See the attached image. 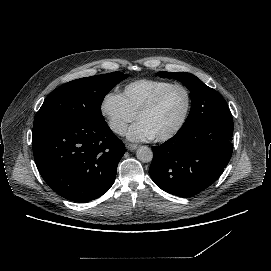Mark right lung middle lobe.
Returning a JSON list of instances; mask_svg holds the SVG:
<instances>
[{
  "label": "right lung middle lobe",
  "instance_id": "1",
  "mask_svg": "<svg viewBox=\"0 0 271 271\" xmlns=\"http://www.w3.org/2000/svg\"><path fill=\"white\" fill-rule=\"evenodd\" d=\"M129 75L122 72L80 78L61 85L44 101L34 124L47 119L104 120L101 104L106 94Z\"/></svg>",
  "mask_w": 271,
  "mask_h": 271
}]
</instances>
